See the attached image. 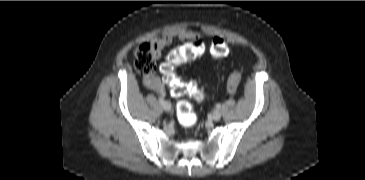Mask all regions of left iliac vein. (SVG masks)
I'll list each match as a JSON object with an SVG mask.
<instances>
[{
    "label": "left iliac vein",
    "mask_w": 365,
    "mask_h": 180,
    "mask_svg": "<svg viewBox=\"0 0 365 180\" xmlns=\"http://www.w3.org/2000/svg\"><path fill=\"white\" fill-rule=\"evenodd\" d=\"M220 118H221V113H220V111H219V110H215V111H213V113H212V119H213L214 121H218V120H220Z\"/></svg>",
    "instance_id": "left-iliac-vein-1"
}]
</instances>
